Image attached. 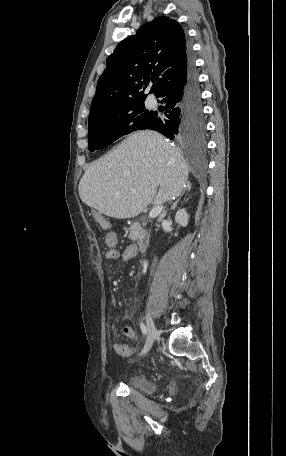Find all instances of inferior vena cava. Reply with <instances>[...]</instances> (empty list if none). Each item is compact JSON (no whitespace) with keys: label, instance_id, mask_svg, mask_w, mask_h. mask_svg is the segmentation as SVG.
<instances>
[{"label":"inferior vena cava","instance_id":"inferior-vena-cava-1","mask_svg":"<svg viewBox=\"0 0 286 456\" xmlns=\"http://www.w3.org/2000/svg\"><path fill=\"white\" fill-rule=\"evenodd\" d=\"M166 215V211H163L162 214H160L158 221H161Z\"/></svg>","mask_w":286,"mask_h":456}]
</instances>
